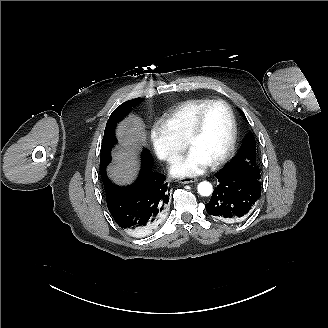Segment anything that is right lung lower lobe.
I'll return each mask as SVG.
<instances>
[{
	"label": "right lung lower lobe",
	"instance_id": "98d812e1",
	"mask_svg": "<svg viewBox=\"0 0 328 328\" xmlns=\"http://www.w3.org/2000/svg\"><path fill=\"white\" fill-rule=\"evenodd\" d=\"M163 174L152 170V160L142 165L139 177L129 187L104 184L107 207L123 229L146 234L151 224L164 214L169 202V188Z\"/></svg>",
	"mask_w": 328,
	"mask_h": 328
}]
</instances>
